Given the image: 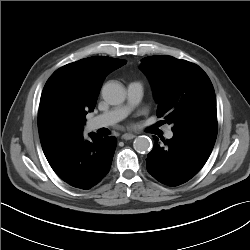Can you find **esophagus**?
Segmentation results:
<instances>
[{
  "label": "esophagus",
  "instance_id": "34e87169",
  "mask_svg": "<svg viewBox=\"0 0 250 250\" xmlns=\"http://www.w3.org/2000/svg\"><path fill=\"white\" fill-rule=\"evenodd\" d=\"M121 138L124 139V140H131V139L135 138V135L132 134V133H125V134L122 135Z\"/></svg>",
  "mask_w": 250,
  "mask_h": 250
}]
</instances>
